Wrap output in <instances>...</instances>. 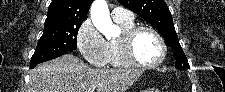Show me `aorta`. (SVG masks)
Masks as SVG:
<instances>
[{"label": "aorta", "mask_w": 225, "mask_h": 92, "mask_svg": "<svg viewBox=\"0 0 225 92\" xmlns=\"http://www.w3.org/2000/svg\"><path fill=\"white\" fill-rule=\"evenodd\" d=\"M90 15L96 29L107 39L116 35L119 28L111 20L106 0H95L92 3Z\"/></svg>", "instance_id": "762f6f07"}]
</instances>
